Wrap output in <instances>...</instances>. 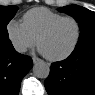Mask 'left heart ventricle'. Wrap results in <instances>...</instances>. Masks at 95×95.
I'll use <instances>...</instances> for the list:
<instances>
[{"instance_id": "left-heart-ventricle-1", "label": "left heart ventricle", "mask_w": 95, "mask_h": 95, "mask_svg": "<svg viewBox=\"0 0 95 95\" xmlns=\"http://www.w3.org/2000/svg\"><path fill=\"white\" fill-rule=\"evenodd\" d=\"M77 37V26L71 20L60 23L50 34L40 42L41 51L49 56L56 57L67 52Z\"/></svg>"}]
</instances>
